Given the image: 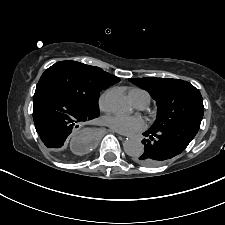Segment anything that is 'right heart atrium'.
<instances>
[{
  "label": "right heart atrium",
  "mask_w": 225,
  "mask_h": 225,
  "mask_svg": "<svg viewBox=\"0 0 225 225\" xmlns=\"http://www.w3.org/2000/svg\"><path fill=\"white\" fill-rule=\"evenodd\" d=\"M110 94V91H106L104 92L99 100H98V104L101 110L106 111L108 110V96Z\"/></svg>",
  "instance_id": "right-heart-atrium-1"
}]
</instances>
